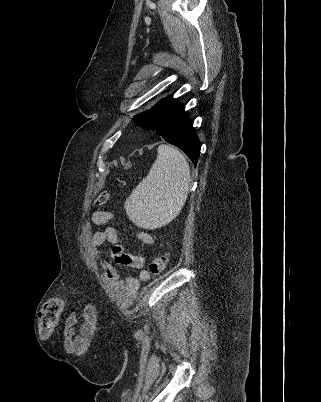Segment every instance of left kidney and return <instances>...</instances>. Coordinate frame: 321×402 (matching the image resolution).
<instances>
[{
  "instance_id": "obj_1",
  "label": "left kidney",
  "mask_w": 321,
  "mask_h": 402,
  "mask_svg": "<svg viewBox=\"0 0 321 402\" xmlns=\"http://www.w3.org/2000/svg\"><path fill=\"white\" fill-rule=\"evenodd\" d=\"M172 219H173V218H172ZM172 219H171V220H172ZM171 220L167 221L165 224L169 223Z\"/></svg>"
}]
</instances>
